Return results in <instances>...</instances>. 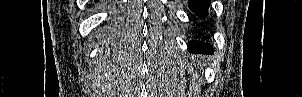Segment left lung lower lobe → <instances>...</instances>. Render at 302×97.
Masks as SVG:
<instances>
[{
  "label": "left lung lower lobe",
  "instance_id": "0a47b994",
  "mask_svg": "<svg viewBox=\"0 0 302 97\" xmlns=\"http://www.w3.org/2000/svg\"><path fill=\"white\" fill-rule=\"evenodd\" d=\"M189 8L198 16H205L208 14L210 0H189ZM188 50L195 53L211 54L213 52L212 46L207 43L192 41L188 43Z\"/></svg>",
  "mask_w": 302,
  "mask_h": 97
}]
</instances>
